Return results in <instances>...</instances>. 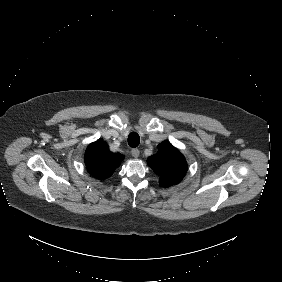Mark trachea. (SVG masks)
<instances>
[{"instance_id": "1", "label": "trachea", "mask_w": 282, "mask_h": 282, "mask_svg": "<svg viewBox=\"0 0 282 282\" xmlns=\"http://www.w3.org/2000/svg\"><path fill=\"white\" fill-rule=\"evenodd\" d=\"M140 143V137L138 135V133L136 132H131L129 135H128V144L130 147H137Z\"/></svg>"}]
</instances>
